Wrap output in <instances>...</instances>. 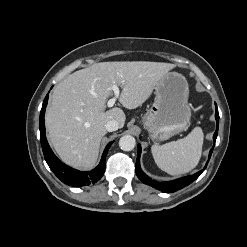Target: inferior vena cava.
Listing matches in <instances>:
<instances>
[{
  "label": "inferior vena cava",
  "instance_id": "1",
  "mask_svg": "<svg viewBox=\"0 0 247 247\" xmlns=\"http://www.w3.org/2000/svg\"><path fill=\"white\" fill-rule=\"evenodd\" d=\"M105 128L109 132H113L119 129V123L116 120H110L105 124Z\"/></svg>",
  "mask_w": 247,
  "mask_h": 247
}]
</instances>
